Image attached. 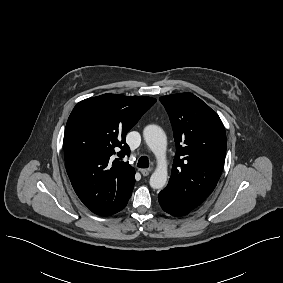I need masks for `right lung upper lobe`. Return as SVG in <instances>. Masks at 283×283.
Here are the masks:
<instances>
[{
	"mask_svg": "<svg viewBox=\"0 0 283 283\" xmlns=\"http://www.w3.org/2000/svg\"><path fill=\"white\" fill-rule=\"evenodd\" d=\"M155 102L104 94L82 100L72 110L64 134L66 170L76 194L95 214L112 215L128 202L135 170L120 161L130 154L125 136ZM115 154L121 158L113 160Z\"/></svg>",
	"mask_w": 283,
	"mask_h": 283,
	"instance_id": "1",
	"label": "right lung upper lobe"
}]
</instances>
